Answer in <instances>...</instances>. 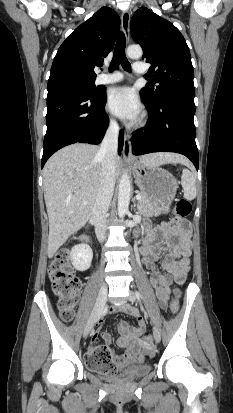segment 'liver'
Here are the masks:
<instances>
[{"instance_id":"obj_1","label":"liver","mask_w":233,"mask_h":413,"mask_svg":"<svg viewBox=\"0 0 233 413\" xmlns=\"http://www.w3.org/2000/svg\"><path fill=\"white\" fill-rule=\"evenodd\" d=\"M99 146L76 143L56 152L43 169L44 199L49 218L47 255L52 258L67 239L81 229L92 214L100 186L102 159ZM149 166L187 163L178 154L156 153L140 157ZM121 169L116 158L115 176ZM86 202V204H84Z\"/></svg>"}]
</instances>
